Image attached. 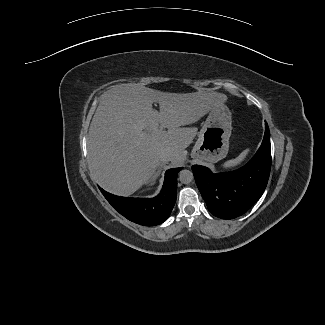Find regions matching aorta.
I'll list each match as a JSON object with an SVG mask.
<instances>
[{
	"mask_svg": "<svg viewBox=\"0 0 325 325\" xmlns=\"http://www.w3.org/2000/svg\"><path fill=\"white\" fill-rule=\"evenodd\" d=\"M179 180L184 184H188L193 180V173L190 170L184 169L179 174Z\"/></svg>",
	"mask_w": 325,
	"mask_h": 325,
	"instance_id": "1",
	"label": "aorta"
}]
</instances>
